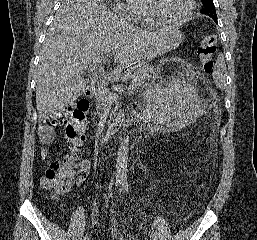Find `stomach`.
I'll return each mask as SVG.
<instances>
[{
    "instance_id": "obj_1",
    "label": "stomach",
    "mask_w": 257,
    "mask_h": 240,
    "mask_svg": "<svg viewBox=\"0 0 257 240\" xmlns=\"http://www.w3.org/2000/svg\"><path fill=\"white\" fill-rule=\"evenodd\" d=\"M182 40L183 34L180 30L175 27H166L159 40L137 61L138 66L141 67L153 58L176 49Z\"/></svg>"
}]
</instances>
